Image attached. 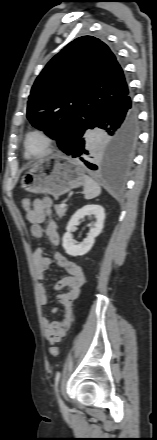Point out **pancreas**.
Listing matches in <instances>:
<instances>
[{
    "label": "pancreas",
    "mask_w": 157,
    "mask_h": 440,
    "mask_svg": "<svg viewBox=\"0 0 157 440\" xmlns=\"http://www.w3.org/2000/svg\"><path fill=\"white\" fill-rule=\"evenodd\" d=\"M54 207H55V211H56V214L58 215V217L62 218L65 215L67 208L63 207L62 205H55Z\"/></svg>",
    "instance_id": "pancreas-1"
}]
</instances>
